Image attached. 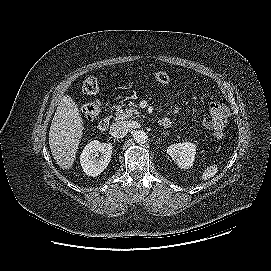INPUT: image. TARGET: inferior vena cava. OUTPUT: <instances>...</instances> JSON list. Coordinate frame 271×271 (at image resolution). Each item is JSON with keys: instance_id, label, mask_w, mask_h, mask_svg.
Wrapping results in <instances>:
<instances>
[{"instance_id": "1", "label": "inferior vena cava", "mask_w": 271, "mask_h": 271, "mask_svg": "<svg viewBox=\"0 0 271 271\" xmlns=\"http://www.w3.org/2000/svg\"><path fill=\"white\" fill-rule=\"evenodd\" d=\"M130 131V124L126 121H117L110 127V134L115 138H123Z\"/></svg>"}]
</instances>
